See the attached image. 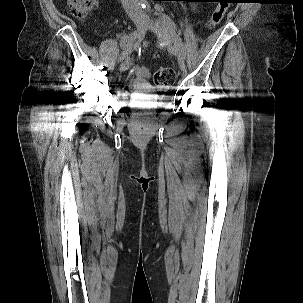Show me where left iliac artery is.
<instances>
[{"instance_id": "left-iliac-artery-1", "label": "left iliac artery", "mask_w": 303, "mask_h": 303, "mask_svg": "<svg viewBox=\"0 0 303 303\" xmlns=\"http://www.w3.org/2000/svg\"><path fill=\"white\" fill-rule=\"evenodd\" d=\"M149 7V6H148ZM161 19L166 22L169 26H171L173 29H176V24L174 21L165 13H160ZM186 58V45H182L180 56H179V62L184 63Z\"/></svg>"}]
</instances>
